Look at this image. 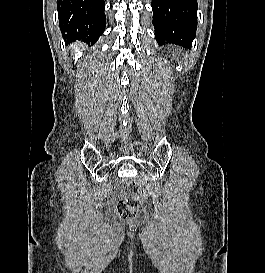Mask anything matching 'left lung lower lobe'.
<instances>
[{
    "instance_id": "left-lung-lower-lobe-1",
    "label": "left lung lower lobe",
    "mask_w": 265,
    "mask_h": 273,
    "mask_svg": "<svg viewBox=\"0 0 265 273\" xmlns=\"http://www.w3.org/2000/svg\"><path fill=\"white\" fill-rule=\"evenodd\" d=\"M151 6L158 45L191 48L197 28V1L152 0Z\"/></svg>"
}]
</instances>
